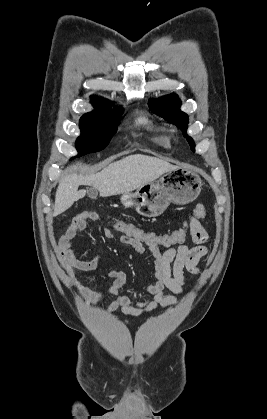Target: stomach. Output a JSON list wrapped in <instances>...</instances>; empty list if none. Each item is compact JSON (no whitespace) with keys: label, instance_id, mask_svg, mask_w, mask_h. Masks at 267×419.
<instances>
[{"label":"stomach","instance_id":"obj_1","mask_svg":"<svg viewBox=\"0 0 267 419\" xmlns=\"http://www.w3.org/2000/svg\"><path fill=\"white\" fill-rule=\"evenodd\" d=\"M202 187L198 173L190 167H177L163 174L156 183L148 182L135 193H123L121 203L134 207L145 217L160 216L170 203L183 205L195 200Z\"/></svg>","mask_w":267,"mask_h":419}]
</instances>
